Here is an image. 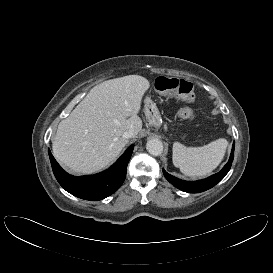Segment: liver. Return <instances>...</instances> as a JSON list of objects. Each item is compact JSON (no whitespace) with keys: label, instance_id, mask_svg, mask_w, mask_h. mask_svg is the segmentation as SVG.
<instances>
[{"label":"liver","instance_id":"1","mask_svg":"<svg viewBox=\"0 0 273 273\" xmlns=\"http://www.w3.org/2000/svg\"><path fill=\"white\" fill-rule=\"evenodd\" d=\"M149 81L128 75L104 81L90 90L62 120L52 142L55 158L71 171L90 174L116 159L127 144L123 133L142 129L138 116Z\"/></svg>","mask_w":273,"mask_h":273}]
</instances>
